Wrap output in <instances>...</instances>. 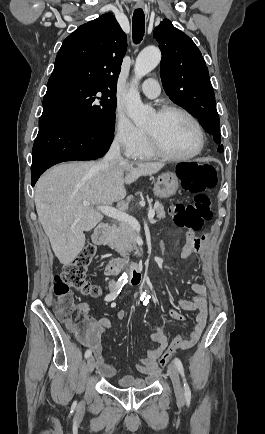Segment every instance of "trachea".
<instances>
[{
    "mask_svg": "<svg viewBox=\"0 0 265 434\" xmlns=\"http://www.w3.org/2000/svg\"><path fill=\"white\" fill-rule=\"evenodd\" d=\"M145 16L142 8H137L133 14V40L135 43H139L144 36Z\"/></svg>",
    "mask_w": 265,
    "mask_h": 434,
    "instance_id": "trachea-1",
    "label": "trachea"
}]
</instances>
